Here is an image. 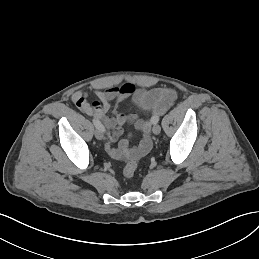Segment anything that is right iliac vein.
I'll list each match as a JSON object with an SVG mask.
<instances>
[{
	"mask_svg": "<svg viewBox=\"0 0 259 259\" xmlns=\"http://www.w3.org/2000/svg\"><path fill=\"white\" fill-rule=\"evenodd\" d=\"M95 137L98 139V140H102L103 139V132L99 129H96L95 130Z\"/></svg>",
	"mask_w": 259,
	"mask_h": 259,
	"instance_id": "63e3f726",
	"label": "right iliac vein"
}]
</instances>
